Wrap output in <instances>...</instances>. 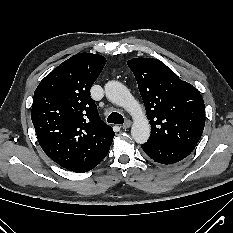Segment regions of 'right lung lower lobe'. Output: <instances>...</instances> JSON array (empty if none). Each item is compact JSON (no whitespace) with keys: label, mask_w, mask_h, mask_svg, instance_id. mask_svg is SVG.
<instances>
[{"label":"right lung lower lobe","mask_w":233,"mask_h":233,"mask_svg":"<svg viewBox=\"0 0 233 233\" xmlns=\"http://www.w3.org/2000/svg\"><path fill=\"white\" fill-rule=\"evenodd\" d=\"M108 152H109V151H107L105 154H103V155H102L101 157H99L97 160H95L94 162H92L90 165H88V166H86V167H84V168H82V169H80V170H77V171H75V172L81 173V172H87V171L93 169L95 166H97V165L106 157V155H107Z\"/></svg>","instance_id":"1"}]
</instances>
